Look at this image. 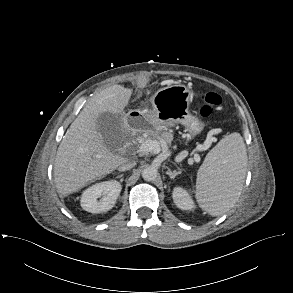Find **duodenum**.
Wrapping results in <instances>:
<instances>
[{
  "label": "duodenum",
  "mask_w": 293,
  "mask_h": 293,
  "mask_svg": "<svg viewBox=\"0 0 293 293\" xmlns=\"http://www.w3.org/2000/svg\"><path fill=\"white\" fill-rule=\"evenodd\" d=\"M125 121H126V123H128V124H133V123H134V121L132 120V117H131L130 115H127V116H126ZM137 121H138V122H142V121H143V120H142V117H138V118H137Z\"/></svg>",
  "instance_id": "410a0bca"
}]
</instances>
